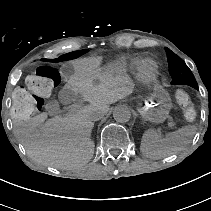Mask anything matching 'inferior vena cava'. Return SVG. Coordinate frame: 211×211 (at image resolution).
Masks as SVG:
<instances>
[{
  "label": "inferior vena cava",
  "mask_w": 211,
  "mask_h": 211,
  "mask_svg": "<svg viewBox=\"0 0 211 211\" xmlns=\"http://www.w3.org/2000/svg\"><path fill=\"white\" fill-rule=\"evenodd\" d=\"M90 106H85L84 107V110L88 112L89 114V117H90V120L92 121H96V120H99L101 117H102V113L100 111H90Z\"/></svg>",
  "instance_id": "obj_1"
}]
</instances>
